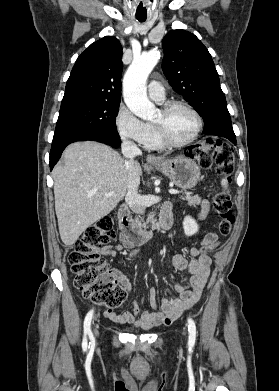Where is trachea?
Returning <instances> with one entry per match:
<instances>
[{
    "instance_id": "trachea-1",
    "label": "trachea",
    "mask_w": 279,
    "mask_h": 391,
    "mask_svg": "<svg viewBox=\"0 0 279 391\" xmlns=\"http://www.w3.org/2000/svg\"><path fill=\"white\" fill-rule=\"evenodd\" d=\"M137 20H138L139 22H144V21L146 20V18H137Z\"/></svg>"
}]
</instances>
